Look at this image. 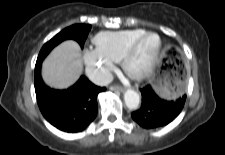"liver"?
I'll use <instances>...</instances> for the list:
<instances>
[{"label":"liver","instance_id":"liver-1","mask_svg":"<svg viewBox=\"0 0 225 155\" xmlns=\"http://www.w3.org/2000/svg\"><path fill=\"white\" fill-rule=\"evenodd\" d=\"M83 69L80 46L73 40L55 47L42 64V77L55 89H67L80 77Z\"/></svg>","mask_w":225,"mask_h":155}]
</instances>
